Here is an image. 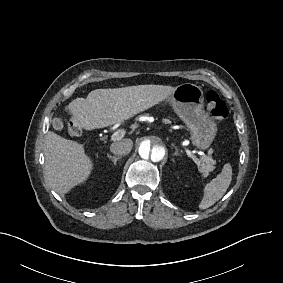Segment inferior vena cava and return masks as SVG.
Masks as SVG:
<instances>
[{
	"label": "inferior vena cava",
	"instance_id": "602c4592",
	"mask_svg": "<svg viewBox=\"0 0 283 283\" xmlns=\"http://www.w3.org/2000/svg\"><path fill=\"white\" fill-rule=\"evenodd\" d=\"M133 142L130 139H124L119 143L111 145L110 150L118 156L128 155L132 149Z\"/></svg>",
	"mask_w": 283,
	"mask_h": 283
}]
</instances>
